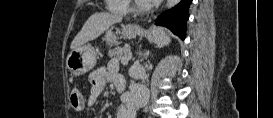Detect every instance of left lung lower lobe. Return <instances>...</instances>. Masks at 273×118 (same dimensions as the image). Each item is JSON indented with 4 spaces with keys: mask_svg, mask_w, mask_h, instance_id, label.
<instances>
[{
    "mask_svg": "<svg viewBox=\"0 0 273 118\" xmlns=\"http://www.w3.org/2000/svg\"><path fill=\"white\" fill-rule=\"evenodd\" d=\"M192 0H181L174 8L163 12L155 21L156 25L169 28L180 39H185L188 8Z\"/></svg>",
    "mask_w": 273,
    "mask_h": 118,
    "instance_id": "1",
    "label": "left lung lower lobe"
}]
</instances>
